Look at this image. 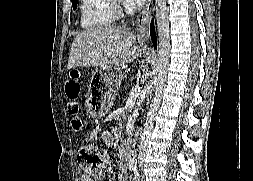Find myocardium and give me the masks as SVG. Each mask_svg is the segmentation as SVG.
<instances>
[{"label": "myocardium", "instance_id": "obj_1", "mask_svg": "<svg viewBox=\"0 0 253 181\" xmlns=\"http://www.w3.org/2000/svg\"><path fill=\"white\" fill-rule=\"evenodd\" d=\"M112 12L114 17H120L123 15L122 5L120 0H110Z\"/></svg>", "mask_w": 253, "mask_h": 181}]
</instances>
